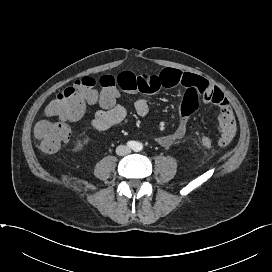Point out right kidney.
I'll use <instances>...</instances> for the list:
<instances>
[{"label": "right kidney", "instance_id": "obj_1", "mask_svg": "<svg viewBox=\"0 0 272 272\" xmlns=\"http://www.w3.org/2000/svg\"><path fill=\"white\" fill-rule=\"evenodd\" d=\"M83 143L86 144V143H87V140H85ZM83 143H82L81 141H79V142H78V145H79V146H82Z\"/></svg>", "mask_w": 272, "mask_h": 272}]
</instances>
